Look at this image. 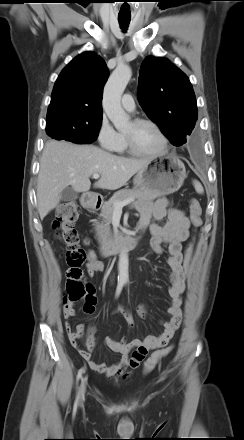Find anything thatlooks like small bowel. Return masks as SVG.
I'll return each mask as SVG.
<instances>
[{
    "label": "small bowel",
    "instance_id": "c3829d8e",
    "mask_svg": "<svg viewBox=\"0 0 244 440\" xmlns=\"http://www.w3.org/2000/svg\"><path fill=\"white\" fill-rule=\"evenodd\" d=\"M134 208L140 213L139 228H148L152 237L150 239V249L153 253L163 254V245H167V264L171 270L169 288L170 307L168 321L162 323L164 330L161 334L148 335L144 340L133 339L131 341L122 339L120 341L107 337L104 341L105 347L120 354L118 362L107 366L104 363L95 362L91 353L95 347L93 333L91 327L84 338V325L78 324L75 330H72L70 318L73 317L75 311L64 312L65 329L71 344L78 350L81 357L88 363L89 367L96 373L103 374L108 378L121 377L123 379L130 376V372H126L129 367L136 369L139 367L144 356L138 353L139 349L154 350L165 346L174 336L175 332L181 324V295L185 289V274L182 266L183 254L182 243L188 238L190 220L185 213L176 208L169 207V201L165 198L158 199L155 202L142 201L134 204ZM167 217L168 221L165 225L160 226L157 222ZM104 268L102 262L92 260L87 263V273L93 277L101 272ZM95 302L90 309L84 308L86 314L90 315L94 312ZM115 312L124 315L130 327H133L134 321L129 312L119 306ZM139 315L144 318L147 313L145 305L139 307ZM85 346L82 348L79 340L83 339ZM134 351L131 354V351Z\"/></svg>",
    "mask_w": 244,
    "mask_h": 440
}]
</instances>
